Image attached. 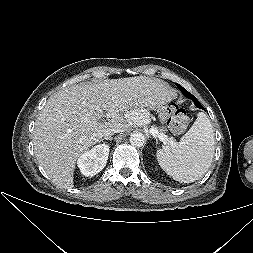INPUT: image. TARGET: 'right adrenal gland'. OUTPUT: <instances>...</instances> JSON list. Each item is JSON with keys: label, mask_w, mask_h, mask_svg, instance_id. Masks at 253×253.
<instances>
[{"label": "right adrenal gland", "mask_w": 253, "mask_h": 253, "mask_svg": "<svg viewBox=\"0 0 253 253\" xmlns=\"http://www.w3.org/2000/svg\"><path fill=\"white\" fill-rule=\"evenodd\" d=\"M104 139H105V140H109V141H112V137H111V136H108V137H104L103 139H101V141H102V140H104Z\"/></svg>", "instance_id": "obj_1"}]
</instances>
